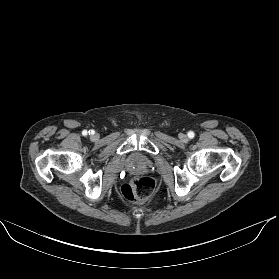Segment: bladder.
I'll use <instances>...</instances> for the list:
<instances>
[{"label":"bladder","mask_w":279,"mask_h":279,"mask_svg":"<svg viewBox=\"0 0 279 279\" xmlns=\"http://www.w3.org/2000/svg\"><path fill=\"white\" fill-rule=\"evenodd\" d=\"M127 163L132 168H144L149 164V161L142 154L133 153L128 157Z\"/></svg>","instance_id":"31cf9c89"}]
</instances>
